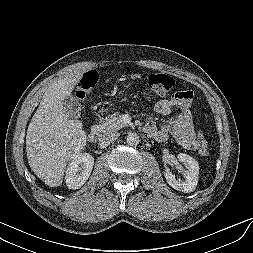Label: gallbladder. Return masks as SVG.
Returning a JSON list of instances; mask_svg holds the SVG:
<instances>
[{"instance_id": "obj_1", "label": "gallbladder", "mask_w": 253, "mask_h": 253, "mask_svg": "<svg viewBox=\"0 0 253 253\" xmlns=\"http://www.w3.org/2000/svg\"><path fill=\"white\" fill-rule=\"evenodd\" d=\"M63 108L69 118L78 119L80 117L81 105L75 97H66L63 100Z\"/></svg>"}]
</instances>
